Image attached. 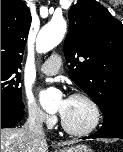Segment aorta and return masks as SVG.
<instances>
[{
  "mask_svg": "<svg viewBox=\"0 0 123 152\" xmlns=\"http://www.w3.org/2000/svg\"><path fill=\"white\" fill-rule=\"evenodd\" d=\"M67 29L64 19H52L39 32L36 49L39 53H47L56 47L63 39ZM43 109L50 110L56 107L57 95L52 89L42 91L39 95Z\"/></svg>",
  "mask_w": 123,
  "mask_h": 152,
  "instance_id": "1",
  "label": "aorta"
}]
</instances>
